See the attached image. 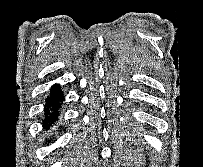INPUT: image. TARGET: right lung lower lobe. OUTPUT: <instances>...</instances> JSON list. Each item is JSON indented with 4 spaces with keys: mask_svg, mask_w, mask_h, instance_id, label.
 Segmentation results:
<instances>
[{
    "mask_svg": "<svg viewBox=\"0 0 203 167\" xmlns=\"http://www.w3.org/2000/svg\"><path fill=\"white\" fill-rule=\"evenodd\" d=\"M64 95L60 89V85H54L51 87L49 95L45 99L43 127L45 130H49L56 125L60 110L63 104Z\"/></svg>",
    "mask_w": 203,
    "mask_h": 167,
    "instance_id": "obj_1",
    "label": "right lung lower lobe"
}]
</instances>
